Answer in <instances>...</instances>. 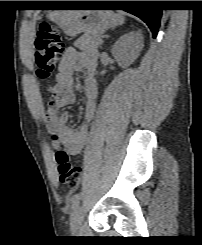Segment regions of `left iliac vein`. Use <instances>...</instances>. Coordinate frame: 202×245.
Listing matches in <instances>:
<instances>
[{"label":"left iliac vein","mask_w":202,"mask_h":245,"mask_svg":"<svg viewBox=\"0 0 202 245\" xmlns=\"http://www.w3.org/2000/svg\"><path fill=\"white\" fill-rule=\"evenodd\" d=\"M83 217H84V209L80 205L74 207L70 218V226H71V231L73 233H76L80 230Z\"/></svg>","instance_id":"1"}]
</instances>
